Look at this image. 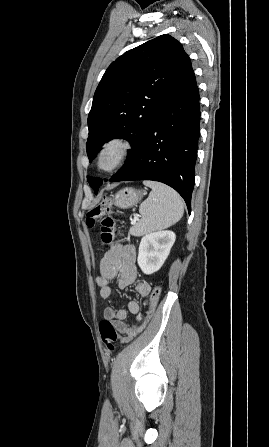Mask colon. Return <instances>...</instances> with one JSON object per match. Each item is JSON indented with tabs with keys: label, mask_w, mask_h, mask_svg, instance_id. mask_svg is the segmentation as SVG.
<instances>
[{
	"label": "colon",
	"mask_w": 269,
	"mask_h": 447,
	"mask_svg": "<svg viewBox=\"0 0 269 447\" xmlns=\"http://www.w3.org/2000/svg\"><path fill=\"white\" fill-rule=\"evenodd\" d=\"M114 207L109 200H105L99 204H97L94 208H92L86 216V224L89 227H99L100 230V238L102 243L111 244L114 238V231L116 227V222L113 217ZM162 292V288L159 285L154 286L151 292V300L148 302V308L146 310V314L138 320V323H135L133 326L136 330L133 332L134 334L127 336L126 338H122V335L116 330L115 326L108 320H101L99 323V332L100 335L105 342L107 348L110 351H113L115 348V344L117 342L120 343H130L133 339H136L138 335L145 332L146 324L148 320L152 317L150 314L154 312L156 309L157 303L160 299Z\"/></svg>",
	"instance_id": "obj_1"
}]
</instances>
